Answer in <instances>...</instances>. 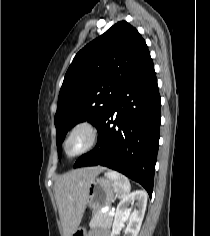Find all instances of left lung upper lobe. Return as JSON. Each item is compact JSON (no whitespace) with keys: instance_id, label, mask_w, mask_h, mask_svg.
I'll use <instances>...</instances> for the list:
<instances>
[{"instance_id":"5c2ea615","label":"left lung upper lobe","mask_w":210,"mask_h":236,"mask_svg":"<svg viewBox=\"0 0 210 236\" xmlns=\"http://www.w3.org/2000/svg\"><path fill=\"white\" fill-rule=\"evenodd\" d=\"M151 60L144 39L126 21L76 54L60 89L54 118L59 158L67 131L86 120L98 128L119 92Z\"/></svg>"}]
</instances>
